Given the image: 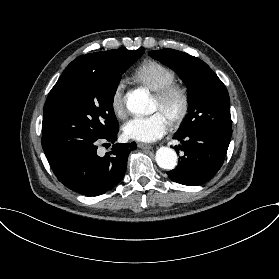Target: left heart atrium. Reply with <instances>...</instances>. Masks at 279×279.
Instances as JSON below:
<instances>
[{
  "label": "left heart atrium",
  "instance_id": "39dd6f15",
  "mask_svg": "<svg viewBox=\"0 0 279 279\" xmlns=\"http://www.w3.org/2000/svg\"><path fill=\"white\" fill-rule=\"evenodd\" d=\"M168 120L161 111L146 117H134L123 125V134L127 139L143 143H152L161 139L168 129Z\"/></svg>",
  "mask_w": 279,
  "mask_h": 279
}]
</instances>
